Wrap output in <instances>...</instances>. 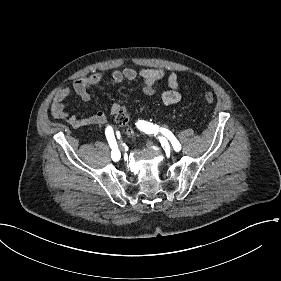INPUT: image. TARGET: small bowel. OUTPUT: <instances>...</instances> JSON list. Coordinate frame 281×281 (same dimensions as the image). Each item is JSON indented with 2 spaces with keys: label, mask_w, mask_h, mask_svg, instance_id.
<instances>
[{
  "label": "small bowel",
  "mask_w": 281,
  "mask_h": 281,
  "mask_svg": "<svg viewBox=\"0 0 281 281\" xmlns=\"http://www.w3.org/2000/svg\"><path fill=\"white\" fill-rule=\"evenodd\" d=\"M163 78L167 79L169 89L163 93L162 102L166 106L173 105L180 100L178 77L173 71L151 68L136 70L131 67H126L122 70H114L110 75V83L119 84L123 81L140 79L143 82L144 94L151 96L155 93V83ZM102 83L103 75L101 73H95L89 77L77 79L72 87H64L60 89L51 106L52 116L64 121L73 128L104 125L107 122V116L104 113L97 112L90 115L79 116L71 114L64 104V101L72 93L78 95L85 102L90 101V90L94 87L100 86ZM119 114L128 113L124 106L114 104L111 107L110 115L111 117L116 118Z\"/></svg>",
  "instance_id": "small-bowel-1"
}]
</instances>
